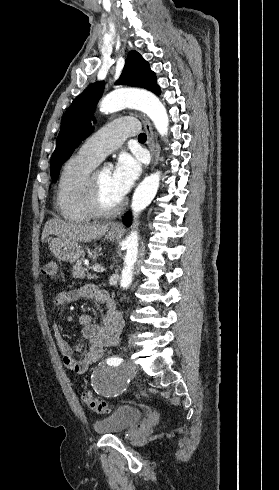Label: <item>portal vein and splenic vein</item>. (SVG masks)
Masks as SVG:
<instances>
[{
	"label": "portal vein and splenic vein",
	"instance_id": "1",
	"mask_svg": "<svg viewBox=\"0 0 279 490\" xmlns=\"http://www.w3.org/2000/svg\"><path fill=\"white\" fill-rule=\"evenodd\" d=\"M94 272H104V268L102 266H92Z\"/></svg>",
	"mask_w": 279,
	"mask_h": 490
}]
</instances>
